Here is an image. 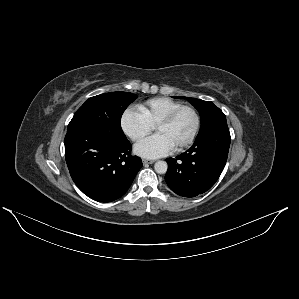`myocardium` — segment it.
I'll use <instances>...</instances> for the list:
<instances>
[{
	"instance_id": "myocardium-1",
	"label": "myocardium",
	"mask_w": 299,
	"mask_h": 299,
	"mask_svg": "<svg viewBox=\"0 0 299 299\" xmlns=\"http://www.w3.org/2000/svg\"><path fill=\"white\" fill-rule=\"evenodd\" d=\"M184 110H190L194 114L195 126H194V129H193L191 135L189 136V138L186 141H184L182 144H180L179 146L174 148L176 151H180V150L188 147L195 140V138L199 132L200 125H201V118H200V114H199L198 110L193 106L183 105V106L171 111L164 118H162L155 126V128L157 130V128L160 126L170 124L178 116V114H180Z\"/></svg>"
}]
</instances>
